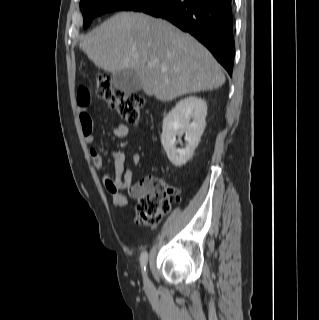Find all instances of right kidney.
Here are the masks:
<instances>
[{"label":"right kidney","mask_w":319,"mask_h":320,"mask_svg":"<svg viewBox=\"0 0 319 320\" xmlns=\"http://www.w3.org/2000/svg\"><path fill=\"white\" fill-rule=\"evenodd\" d=\"M206 115V102L202 98L189 96L180 100L164 118L161 143L173 165L181 167L191 159L204 132ZM184 133L187 145L185 148L177 149L176 136H182Z\"/></svg>","instance_id":"1"}]
</instances>
